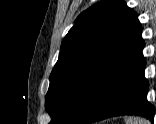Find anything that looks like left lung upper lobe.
I'll use <instances>...</instances> for the list:
<instances>
[{
    "instance_id": "obj_1",
    "label": "left lung upper lobe",
    "mask_w": 156,
    "mask_h": 124,
    "mask_svg": "<svg viewBox=\"0 0 156 124\" xmlns=\"http://www.w3.org/2000/svg\"><path fill=\"white\" fill-rule=\"evenodd\" d=\"M137 14L123 0L82 12L62 41L45 109L50 124H78L106 78L142 40Z\"/></svg>"
}]
</instances>
